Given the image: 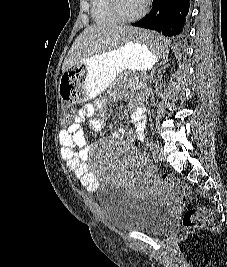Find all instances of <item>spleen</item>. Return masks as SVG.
<instances>
[{
	"instance_id": "spleen-1",
	"label": "spleen",
	"mask_w": 227,
	"mask_h": 267,
	"mask_svg": "<svg viewBox=\"0 0 227 267\" xmlns=\"http://www.w3.org/2000/svg\"><path fill=\"white\" fill-rule=\"evenodd\" d=\"M130 30L134 29L133 25L129 26ZM160 31H142L141 33H129L131 43H143V47H150L152 55H157L158 63H169L171 46H165L167 38H157Z\"/></svg>"
}]
</instances>
